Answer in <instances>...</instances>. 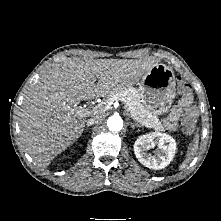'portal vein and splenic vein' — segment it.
<instances>
[{"label": "portal vein and splenic vein", "mask_w": 221, "mask_h": 221, "mask_svg": "<svg viewBox=\"0 0 221 221\" xmlns=\"http://www.w3.org/2000/svg\"><path fill=\"white\" fill-rule=\"evenodd\" d=\"M106 106H108V105H106ZM106 106L97 105L92 110H90L88 108L80 107V111L79 112L88 113V114H91V113H94V114L101 113L106 108Z\"/></svg>", "instance_id": "1"}]
</instances>
